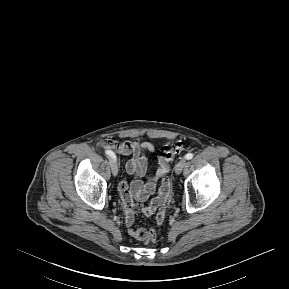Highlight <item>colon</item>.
I'll return each instance as SVG.
<instances>
[{
	"label": "colon",
	"mask_w": 289,
	"mask_h": 289,
	"mask_svg": "<svg viewBox=\"0 0 289 289\" xmlns=\"http://www.w3.org/2000/svg\"><path fill=\"white\" fill-rule=\"evenodd\" d=\"M183 148V143L181 141H177L167 147H165L163 151V156L171 160L175 155H177ZM147 243H155L157 241V233L154 229H150L148 233V237L145 240Z\"/></svg>",
	"instance_id": "1"
}]
</instances>
